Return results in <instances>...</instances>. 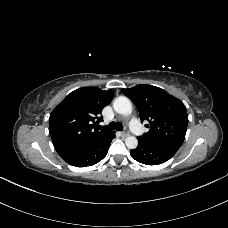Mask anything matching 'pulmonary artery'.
I'll list each match as a JSON object with an SVG mask.
<instances>
[{"label":"pulmonary artery","mask_w":228,"mask_h":228,"mask_svg":"<svg viewBox=\"0 0 228 228\" xmlns=\"http://www.w3.org/2000/svg\"><path fill=\"white\" fill-rule=\"evenodd\" d=\"M129 126L133 131H135V133L139 134L141 132V127L137 119L132 118Z\"/></svg>","instance_id":"obj_1"}]
</instances>
